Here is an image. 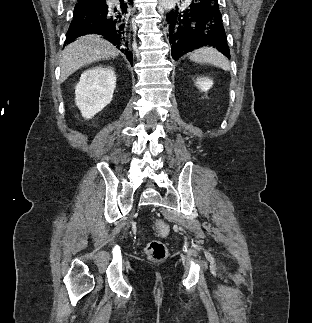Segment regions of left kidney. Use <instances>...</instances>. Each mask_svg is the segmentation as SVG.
<instances>
[{"mask_svg": "<svg viewBox=\"0 0 312 323\" xmlns=\"http://www.w3.org/2000/svg\"><path fill=\"white\" fill-rule=\"evenodd\" d=\"M196 84H198L199 88L203 90V92H207L213 86L212 80L210 78H198Z\"/></svg>", "mask_w": 312, "mask_h": 323, "instance_id": "left-kidney-1", "label": "left kidney"}]
</instances>
